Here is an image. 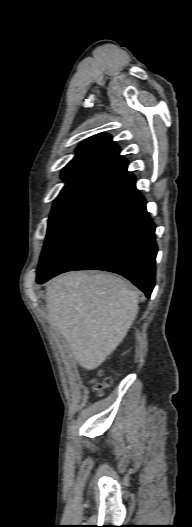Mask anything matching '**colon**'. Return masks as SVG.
Wrapping results in <instances>:
<instances>
[{
	"instance_id": "5ec220e1",
	"label": "colon",
	"mask_w": 192,
	"mask_h": 527,
	"mask_svg": "<svg viewBox=\"0 0 192 527\" xmlns=\"http://www.w3.org/2000/svg\"><path fill=\"white\" fill-rule=\"evenodd\" d=\"M112 384V380L111 378L109 377H106L102 380H99V381H95L94 382V391L99 394V395H102L104 393V391L109 388Z\"/></svg>"
}]
</instances>
